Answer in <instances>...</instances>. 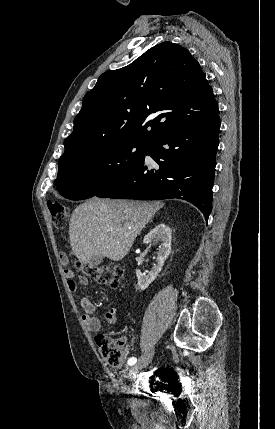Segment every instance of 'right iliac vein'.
Segmentation results:
<instances>
[{
  "label": "right iliac vein",
  "instance_id": "63e3f726",
  "mask_svg": "<svg viewBox=\"0 0 275 429\" xmlns=\"http://www.w3.org/2000/svg\"><path fill=\"white\" fill-rule=\"evenodd\" d=\"M154 355V349H150L149 351H147L140 359V361L135 364L131 369H130V376L131 375H135L140 369L148 366V364L151 362L152 358Z\"/></svg>",
  "mask_w": 275,
  "mask_h": 429
}]
</instances>
